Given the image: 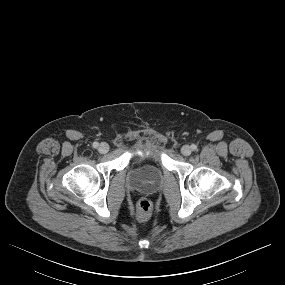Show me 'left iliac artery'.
<instances>
[{
  "label": "left iliac artery",
  "instance_id": "1",
  "mask_svg": "<svg viewBox=\"0 0 285 285\" xmlns=\"http://www.w3.org/2000/svg\"><path fill=\"white\" fill-rule=\"evenodd\" d=\"M191 149H192L193 151H196V150H197V145L192 144V145H191Z\"/></svg>",
  "mask_w": 285,
  "mask_h": 285
}]
</instances>
